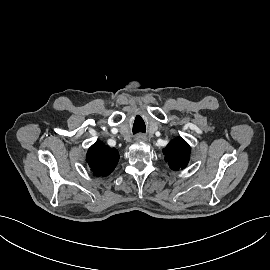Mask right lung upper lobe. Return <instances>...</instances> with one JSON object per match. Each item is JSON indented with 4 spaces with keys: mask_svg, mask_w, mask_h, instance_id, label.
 Returning a JSON list of instances; mask_svg holds the SVG:
<instances>
[{
    "mask_svg": "<svg viewBox=\"0 0 270 270\" xmlns=\"http://www.w3.org/2000/svg\"><path fill=\"white\" fill-rule=\"evenodd\" d=\"M86 161L96 176L109 175L119 161V154L115 148L96 141L88 150Z\"/></svg>",
    "mask_w": 270,
    "mask_h": 270,
    "instance_id": "right-lung-upper-lobe-1",
    "label": "right lung upper lobe"
}]
</instances>
